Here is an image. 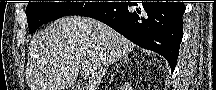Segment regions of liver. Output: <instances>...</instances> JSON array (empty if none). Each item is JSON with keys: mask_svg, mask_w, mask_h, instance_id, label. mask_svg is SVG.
Instances as JSON below:
<instances>
[{"mask_svg": "<svg viewBox=\"0 0 216 90\" xmlns=\"http://www.w3.org/2000/svg\"><path fill=\"white\" fill-rule=\"evenodd\" d=\"M134 48L133 42L98 20L61 18L31 40L26 84L30 90H74L82 68L90 76L83 90H98L107 68Z\"/></svg>", "mask_w": 216, "mask_h": 90, "instance_id": "6515ba94", "label": "liver"}]
</instances>
